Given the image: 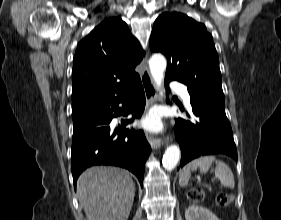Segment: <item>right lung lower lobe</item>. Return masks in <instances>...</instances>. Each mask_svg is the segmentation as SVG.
Masks as SVG:
<instances>
[{
  "mask_svg": "<svg viewBox=\"0 0 281 220\" xmlns=\"http://www.w3.org/2000/svg\"><path fill=\"white\" fill-rule=\"evenodd\" d=\"M122 104L125 110H119ZM145 108V94L141 80L127 93L73 117L71 171L74 186L83 170L94 165H113L134 173L143 185L145 162L150 154L143 131L125 129ZM132 115L122 121V128L110 126L112 118Z\"/></svg>",
  "mask_w": 281,
  "mask_h": 220,
  "instance_id": "obj_1",
  "label": "right lung lower lobe"
}]
</instances>
